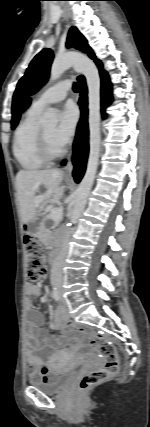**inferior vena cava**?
<instances>
[{
    "mask_svg": "<svg viewBox=\"0 0 150 427\" xmlns=\"http://www.w3.org/2000/svg\"><path fill=\"white\" fill-rule=\"evenodd\" d=\"M68 238H69V232L65 236L62 250L58 254L57 259L54 262L51 269L50 281L53 286L61 285L63 282L62 268L65 263V258L67 255Z\"/></svg>",
    "mask_w": 150,
    "mask_h": 427,
    "instance_id": "602c4592",
    "label": "inferior vena cava"
}]
</instances>
